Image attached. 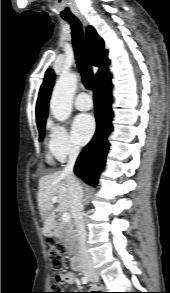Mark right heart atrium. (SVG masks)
Instances as JSON below:
<instances>
[{
	"label": "right heart atrium",
	"instance_id": "d8ad5b80",
	"mask_svg": "<svg viewBox=\"0 0 170 293\" xmlns=\"http://www.w3.org/2000/svg\"><path fill=\"white\" fill-rule=\"evenodd\" d=\"M48 149L58 161H64L79 152V146L73 141L66 127L60 123H53L50 126Z\"/></svg>",
	"mask_w": 170,
	"mask_h": 293
}]
</instances>
